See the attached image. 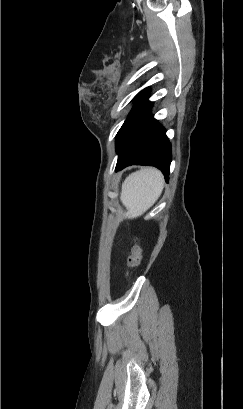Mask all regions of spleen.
Instances as JSON below:
<instances>
[{"label": "spleen", "instance_id": "1", "mask_svg": "<svg viewBox=\"0 0 243 409\" xmlns=\"http://www.w3.org/2000/svg\"><path fill=\"white\" fill-rule=\"evenodd\" d=\"M164 180L155 168H143L130 174L122 184L121 202L126 216L136 218L148 210L160 197Z\"/></svg>", "mask_w": 243, "mask_h": 409}]
</instances>
